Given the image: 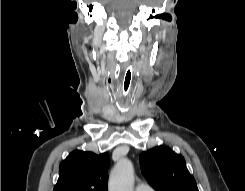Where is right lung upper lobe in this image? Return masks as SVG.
I'll return each mask as SVG.
<instances>
[{"instance_id": "cb5924a9", "label": "right lung upper lobe", "mask_w": 245, "mask_h": 191, "mask_svg": "<svg viewBox=\"0 0 245 191\" xmlns=\"http://www.w3.org/2000/svg\"><path fill=\"white\" fill-rule=\"evenodd\" d=\"M109 164L105 153L73 151L61 162L53 191H107Z\"/></svg>"}]
</instances>
